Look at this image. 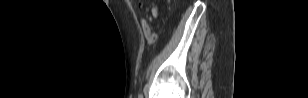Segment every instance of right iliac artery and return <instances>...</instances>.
I'll use <instances>...</instances> for the list:
<instances>
[{"label":"right iliac artery","instance_id":"right-iliac-artery-1","mask_svg":"<svg viewBox=\"0 0 308 98\" xmlns=\"http://www.w3.org/2000/svg\"><path fill=\"white\" fill-rule=\"evenodd\" d=\"M139 98H142V95H139Z\"/></svg>","mask_w":308,"mask_h":98}]
</instances>
